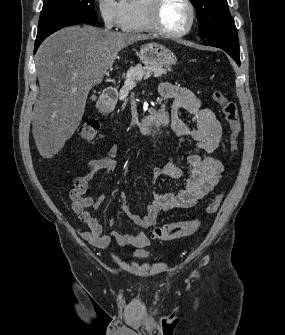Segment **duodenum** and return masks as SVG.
Returning a JSON list of instances; mask_svg holds the SVG:
<instances>
[{"label":"duodenum","instance_id":"1","mask_svg":"<svg viewBox=\"0 0 285 335\" xmlns=\"http://www.w3.org/2000/svg\"><path fill=\"white\" fill-rule=\"evenodd\" d=\"M118 96V92L115 88H108L104 91L102 97L99 100V110L101 112H108L113 106ZM171 112L164 107L159 109H152L139 124L138 129L141 133L146 132L152 125L161 126L170 121Z\"/></svg>","mask_w":285,"mask_h":335}]
</instances>
